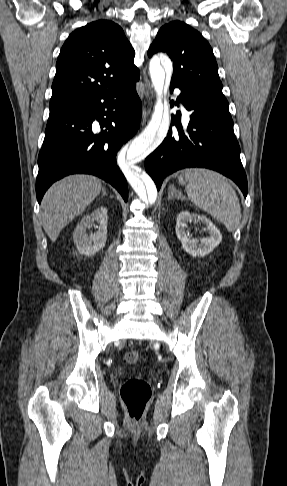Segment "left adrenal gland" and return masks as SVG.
Segmentation results:
<instances>
[{
  "mask_svg": "<svg viewBox=\"0 0 287 486\" xmlns=\"http://www.w3.org/2000/svg\"><path fill=\"white\" fill-rule=\"evenodd\" d=\"M178 198L181 200H185L186 198L181 194L179 190H177L174 185L170 186L168 189V200Z\"/></svg>",
  "mask_w": 287,
  "mask_h": 486,
  "instance_id": "1",
  "label": "left adrenal gland"
}]
</instances>
